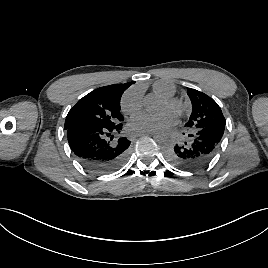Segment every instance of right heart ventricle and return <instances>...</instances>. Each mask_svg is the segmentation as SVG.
<instances>
[{"instance_id": "e07e8e85", "label": "right heart ventricle", "mask_w": 268, "mask_h": 268, "mask_svg": "<svg viewBox=\"0 0 268 268\" xmlns=\"http://www.w3.org/2000/svg\"><path fill=\"white\" fill-rule=\"evenodd\" d=\"M153 90L164 98L173 97L176 93L175 87L167 82L158 81L153 85Z\"/></svg>"}]
</instances>
